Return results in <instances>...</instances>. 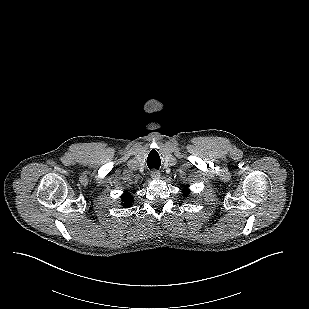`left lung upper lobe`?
I'll list each match as a JSON object with an SVG mask.
<instances>
[{
  "instance_id": "obj_1",
  "label": "left lung upper lobe",
  "mask_w": 309,
  "mask_h": 309,
  "mask_svg": "<svg viewBox=\"0 0 309 309\" xmlns=\"http://www.w3.org/2000/svg\"><path fill=\"white\" fill-rule=\"evenodd\" d=\"M182 193L184 196H187L190 193V190L188 189V185L184 187Z\"/></svg>"
}]
</instances>
